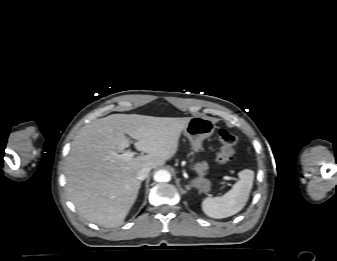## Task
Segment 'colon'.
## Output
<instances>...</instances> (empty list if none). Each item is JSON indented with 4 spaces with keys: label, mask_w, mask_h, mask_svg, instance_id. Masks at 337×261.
<instances>
[{
    "label": "colon",
    "mask_w": 337,
    "mask_h": 261,
    "mask_svg": "<svg viewBox=\"0 0 337 261\" xmlns=\"http://www.w3.org/2000/svg\"><path fill=\"white\" fill-rule=\"evenodd\" d=\"M218 139L220 142V148L217 152L216 160L218 164L225 165L232 160L235 154L237 138L231 132L222 129L218 133Z\"/></svg>",
    "instance_id": "colon-1"
}]
</instances>
